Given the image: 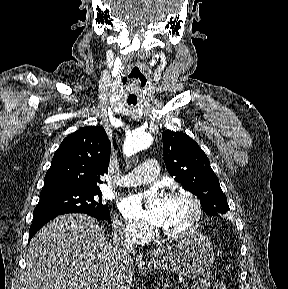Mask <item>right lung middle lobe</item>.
<instances>
[{"label": "right lung middle lobe", "instance_id": "right-lung-middle-lobe-1", "mask_svg": "<svg viewBox=\"0 0 288 289\" xmlns=\"http://www.w3.org/2000/svg\"><path fill=\"white\" fill-rule=\"evenodd\" d=\"M99 187L44 188L40 200L34 209V216L61 215L65 213H85L97 219L106 220L110 217L107 205L102 203Z\"/></svg>", "mask_w": 288, "mask_h": 289}]
</instances>
